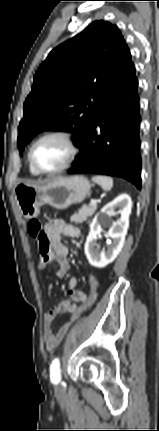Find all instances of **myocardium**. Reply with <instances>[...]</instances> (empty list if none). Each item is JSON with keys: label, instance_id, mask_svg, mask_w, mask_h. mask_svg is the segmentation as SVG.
Listing matches in <instances>:
<instances>
[{"label": "myocardium", "instance_id": "obj_1", "mask_svg": "<svg viewBox=\"0 0 159 431\" xmlns=\"http://www.w3.org/2000/svg\"><path fill=\"white\" fill-rule=\"evenodd\" d=\"M48 138H59L62 139L68 146L69 148V156L67 158V160L65 161L64 164H62L60 167L54 169V170H43L41 168H39L33 159V151L35 149V147L37 146L38 143H40L41 141L48 139ZM79 154V147L77 145V142L75 140V138L73 137V135L67 131H63V130H55V131H50L47 132L43 135H41L40 137H38L30 146L29 152H28V161L31 165V167L38 173V174H43V175H52V174H57L60 172H63L64 170L68 169L72 163L76 160L77 156Z\"/></svg>", "mask_w": 159, "mask_h": 431}]
</instances>
